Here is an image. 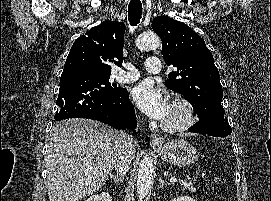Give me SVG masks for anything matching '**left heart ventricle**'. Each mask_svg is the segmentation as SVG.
<instances>
[{
    "mask_svg": "<svg viewBox=\"0 0 271 201\" xmlns=\"http://www.w3.org/2000/svg\"><path fill=\"white\" fill-rule=\"evenodd\" d=\"M180 118V114L177 110L171 109L169 111V114L167 118L164 120L166 122H175Z\"/></svg>",
    "mask_w": 271,
    "mask_h": 201,
    "instance_id": "left-heart-ventricle-1",
    "label": "left heart ventricle"
}]
</instances>
